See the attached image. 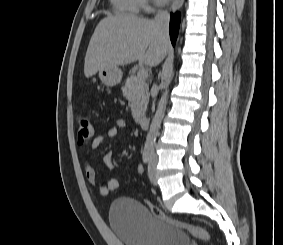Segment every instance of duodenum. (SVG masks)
Wrapping results in <instances>:
<instances>
[{"mask_svg":"<svg viewBox=\"0 0 283 245\" xmlns=\"http://www.w3.org/2000/svg\"><path fill=\"white\" fill-rule=\"evenodd\" d=\"M138 124L141 126L143 129H147L150 123V120L146 116H139L137 118Z\"/></svg>","mask_w":283,"mask_h":245,"instance_id":"410a0bca","label":"duodenum"}]
</instances>
